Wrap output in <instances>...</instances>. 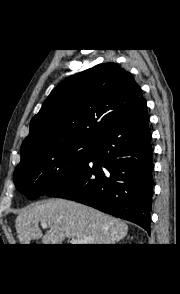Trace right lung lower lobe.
<instances>
[{"mask_svg": "<svg viewBox=\"0 0 180 294\" xmlns=\"http://www.w3.org/2000/svg\"><path fill=\"white\" fill-rule=\"evenodd\" d=\"M146 101L102 133L86 162L47 196L80 202L150 230L153 190Z\"/></svg>", "mask_w": 180, "mask_h": 294, "instance_id": "1", "label": "right lung lower lobe"}]
</instances>
